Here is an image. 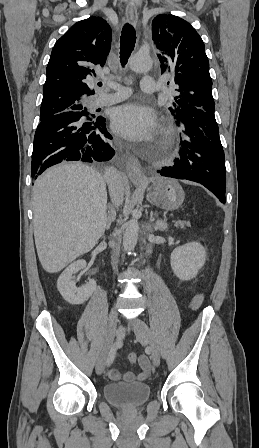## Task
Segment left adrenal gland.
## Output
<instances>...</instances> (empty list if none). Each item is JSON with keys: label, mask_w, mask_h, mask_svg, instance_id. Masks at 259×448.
<instances>
[{"label": "left adrenal gland", "mask_w": 259, "mask_h": 448, "mask_svg": "<svg viewBox=\"0 0 259 448\" xmlns=\"http://www.w3.org/2000/svg\"><path fill=\"white\" fill-rule=\"evenodd\" d=\"M154 230H160V232H164L167 230L168 224L166 222H162V220H157V222H151Z\"/></svg>", "instance_id": "1"}]
</instances>
